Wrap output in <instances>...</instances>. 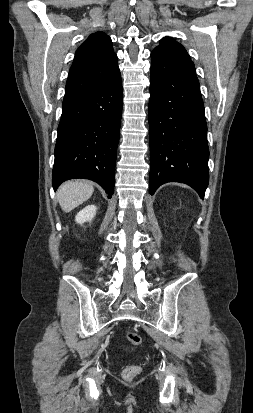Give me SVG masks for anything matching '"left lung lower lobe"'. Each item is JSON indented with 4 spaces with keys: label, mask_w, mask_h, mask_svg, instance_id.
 Instances as JSON below:
<instances>
[{
    "label": "left lung lower lobe",
    "mask_w": 253,
    "mask_h": 413,
    "mask_svg": "<svg viewBox=\"0 0 253 413\" xmlns=\"http://www.w3.org/2000/svg\"><path fill=\"white\" fill-rule=\"evenodd\" d=\"M149 100L150 175L153 195L181 182L201 198L209 182L207 124L197 76L165 53H151Z\"/></svg>",
    "instance_id": "obj_1"
}]
</instances>
